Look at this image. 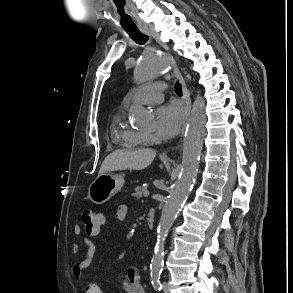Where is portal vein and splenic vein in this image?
Returning a JSON list of instances; mask_svg holds the SVG:
<instances>
[{"instance_id": "1", "label": "portal vein and splenic vein", "mask_w": 293, "mask_h": 293, "mask_svg": "<svg viewBox=\"0 0 293 293\" xmlns=\"http://www.w3.org/2000/svg\"><path fill=\"white\" fill-rule=\"evenodd\" d=\"M143 195H144L145 197H148V196H149V191H148V190H145L144 193H143Z\"/></svg>"}]
</instances>
